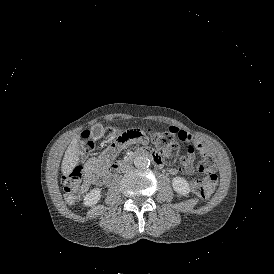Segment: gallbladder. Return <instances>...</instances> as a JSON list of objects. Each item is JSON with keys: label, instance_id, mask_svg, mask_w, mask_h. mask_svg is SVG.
Instances as JSON below:
<instances>
[{"label": "gallbladder", "instance_id": "obj_1", "mask_svg": "<svg viewBox=\"0 0 274 274\" xmlns=\"http://www.w3.org/2000/svg\"><path fill=\"white\" fill-rule=\"evenodd\" d=\"M102 132H103V126L101 124H95L91 129V135L95 139L101 137Z\"/></svg>", "mask_w": 274, "mask_h": 274}]
</instances>
